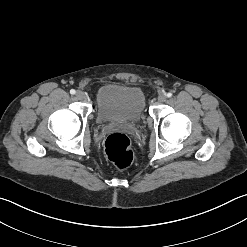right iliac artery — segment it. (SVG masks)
I'll use <instances>...</instances> for the list:
<instances>
[{"instance_id":"right-iliac-artery-1","label":"right iliac artery","mask_w":247,"mask_h":247,"mask_svg":"<svg viewBox=\"0 0 247 247\" xmlns=\"http://www.w3.org/2000/svg\"><path fill=\"white\" fill-rule=\"evenodd\" d=\"M76 93V91L74 89L70 90V94L74 95Z\"/></svg>"}]
</instances>
